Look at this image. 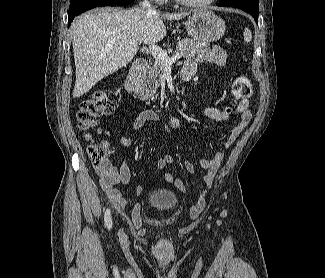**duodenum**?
I'll return each mask as SVG.
<instances>
[{
  "mask_svg": "<svg viewBox=\"0 0 325 278\" xmlns=\"http://www.w3.org/2000/svg\"><path fill=\"white\" fill-rule=\"evenodd\" d=\"M147 69L148 62L145 59L140 58L134 62L126 80V90L131 98L137 99L139 97L141 80L146 74ZM190 76V70H183V78L185 80H190Z\"/></svg>",
  "mask_w": 325,
  "mask_h": 278,
  "instance_id": "duodenum-1",
  "label": "duodenum"
}]
</instances>
